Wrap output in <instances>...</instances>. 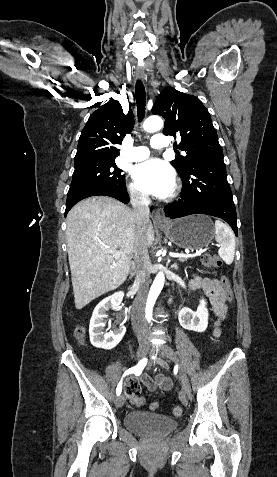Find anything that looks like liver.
<instances>
[{
    "instance_id": "obj_1",
    "label": "liver",
    "mask_w": 277,
    "mask_h": 477,
    "mask_svg": "<svg viewBox=\"0 0 277 477\" xmlns=\"http://www.w3.org/2000/svg\"><path fill=\"white\" fill-rule=\"evenodd\" d=\"M66 224L75 307L82 309L124 283L138 250V229L132 211L106 196L90 197L76 204ZM153 242L149 220L142 243L149 248ZM118 248L122 255L116 259L113 252Z\"/></svg>"
}]
</instances>
